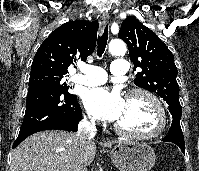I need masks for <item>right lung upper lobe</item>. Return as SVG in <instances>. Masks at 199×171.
<instances>
[{"mask_svg": "<svg viewBox=\"0 0 199 171\" xmlns=\"http://www.w3.org/2000/svg\"><path fill=\"white\" fill-rule=\"evenodd\" d=\"M99 23L69 21L54 30L37 50L30 76L54 75L64 77L76 58L86 60L94 51Z\"/></svg>", "mask_w": 199, "mask_h": 171, "instance_id": "cb5924a9", "label": "right lung upper lobe"}]
</instances>
